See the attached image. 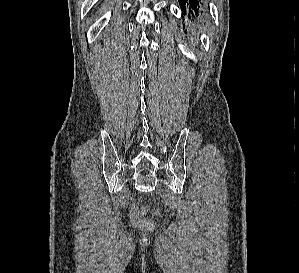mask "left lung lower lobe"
Wrapping results in <instances>:
<instances>
[{"label": "left lung lower lobe", "mask_w": 299, "mask_h": 273, "mask_svg": "<svg viewBox=\"0 0 299 273\" xmlns=\"http://www.w3.org/2000/svg\"><path fill=\"white\" fill-rule=\"evenodd\" d=\"M183 14L189 13L192 17H199L202 15L201 0H179Z\"/></svg>", "instance_id": "0a47b994"}]
</instances>
